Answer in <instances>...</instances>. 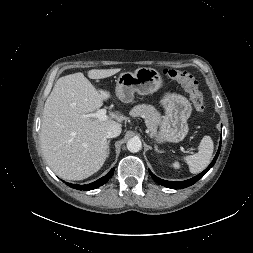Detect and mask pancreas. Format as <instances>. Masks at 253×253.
I'll return each instance as SVG.
<instances>
[{"label":"pancreas","instance_id":"pancreas-1","mask_svg":"<svg viewBox=\"0 0 253 253\" xmlns=\"http://www.w3.org/2000/svg\"><path fill=\"white\" fill-rule=\"evenodd\" d=\"M130 115L144 118L147 128L153 134L157 132L158 126L162 123L160 113L151 105H137L130 111Z\"/></svg>","mask_w":253,"mask_h":253}]
</instances>
